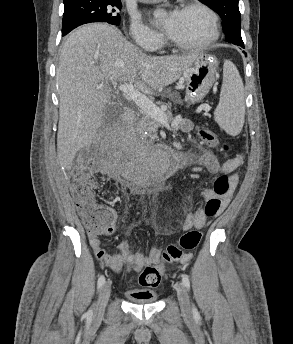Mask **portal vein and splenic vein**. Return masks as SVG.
Segmentation results:
<instances>
[{
    "mask_svg": "<svg viewBox=\"0 0 293 344\" xmlns=\"http://www.w3.org/2000/svg\"><path fill=\"white\" fill-rule=\"evenodd\" d=\"M119 90L130 98L144 113L156 119L163 125L168 124V118L164 111L157 107L148 97L137 91L133 84H120Z\"/></svg>",
    "mask_w": 293,
    "mask_h": 344,
    "instance_id": "1",
    "label": "portal vein and splenic vein"
}]
</instances>
